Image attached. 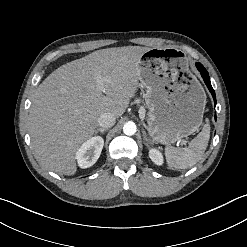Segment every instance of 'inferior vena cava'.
<instances>
[{
	"label": "inferior vena cava",
	"instance_id": "1",
	"mask_svg": "<svg viewBox=\"0 0 247 247\" xmlns=\"http://www.w3.org/2000/svg\"><path fill=\"white\" fill-rule=\"evenodd\" d=\"M115 121H116V117L114 114L110 112H105L101 114L100 117L98 118V125L103 129L110 128L114 126Z\"/></svg>",
	"mask_w": 247,
	"mask_h": 247
}]
</instances>
